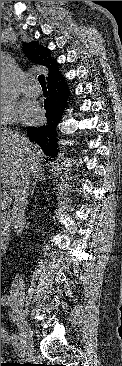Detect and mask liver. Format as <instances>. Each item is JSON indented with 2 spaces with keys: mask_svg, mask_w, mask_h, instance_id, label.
Segmentation results:
<instances>
[{
  "mask_svg": "<svg viewBox=\"0 0 122 366\" xmlns=\"http://www.w3.org/2000/svg\"><path fill=\"white\" fill-rule=\"evenodd\" d=\"M43 150L17 132L1 129V184L12 190L25 171L31 176L41 175Z\"/></svg>",
  "mask_w": 122,
  "mask_h": 366,
  "instance_id": "1",
  "label": "liver"
}]
</instances>
